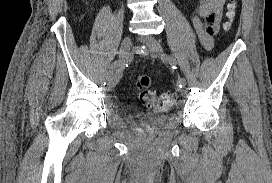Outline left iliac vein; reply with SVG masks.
<instances>
[{
    "instance_id": "1",
    "label": "left iliac vein",
    "mask_w": 272,
    "mask_h": 183,
    "mask_svg": "<svg viewBox=\"0 0 272 183\" xmlns=\"http://www.w3.org/2000/svg\"><path fill=\"white\" fill-rule=\"evenodd\" d=\"M142 42L147 46V48L150 51V54L153 58H159L160 55L163 52L162 46L160 44V42L155 39L152 36H147L143 39H141ZM180 93H185L186 89L185 88H179L178 89Z\"/></svg>"
}]
</instances>
